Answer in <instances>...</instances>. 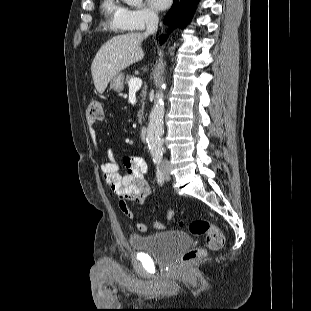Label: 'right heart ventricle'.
<instances>
[{
	"label": "right heart ventricle",
	"instance_id": "right-heart-ventricle-1",
	"mask_svg": "<svg viewBox=\"0 0 311 311\" xmlns=\"http://www.w3.org/2000/svg\"><path fill=\"white\" fill-rule=\"evenodd\" d=\"M101 11L104 17V24L118 32L130 30L125 22L127 8L119 0H103Z\"/></svg>",
	"mask_w": 311,
	"mask_h": 311
}]
</instances>
